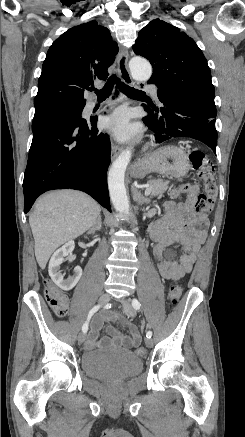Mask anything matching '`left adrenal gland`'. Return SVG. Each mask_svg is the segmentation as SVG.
<instances>
[{"mask_svg": "<svg viewBox=\"0 0 245 437\" xmlns=\"http://www.w3.org/2000/svg\"><path fill=\"white\" fill-rule=\"evenodd\" d=\"M133 194V200L137 203L138 206H142L143 204H149L150 200L143 196V194L134 186L131 188Z\"/></svg>", "mask_w": 245, "mask_h": 437, "instance_id": "left-adrenal-gland-1", "label": "left adrenal gland"}]
</instances>
